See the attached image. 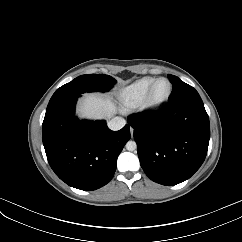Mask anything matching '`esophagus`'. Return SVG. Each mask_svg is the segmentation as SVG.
<instances>
[{"mask_svg":"<svg viewBox=\"0 0 242 242\" xmlns=\"http://www.w3.org/2000/svg\"><path fill=\"white\" fill-rule=\"evenodd\" d=\"M130 130H131V136H133V129L131 128Z\"/></svg>","mask_w":242,"mask_h":242,"instance_id":"1","label":"esophagus"}]
</instances>
